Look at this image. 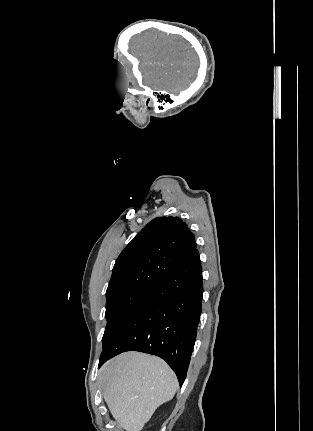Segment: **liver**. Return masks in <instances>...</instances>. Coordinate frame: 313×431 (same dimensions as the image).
<instances>
[{"label":"liver","instance_id":"1","mask_svg":"<svg viewBox=\"0 0 313 431\" xmlns=\"http://www.w3.org/2000/svg\"><path fill=\"white\" fill-rule=\"evenodd\" d=\"M100 377L105 402L125 431H141L178 388L174 372L162 359L138 352H126L108 361Z\"/></svg>","mask_w":313,"mask_h":431}]
</instances>
